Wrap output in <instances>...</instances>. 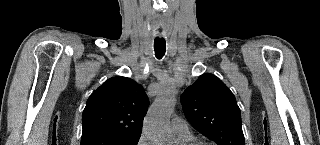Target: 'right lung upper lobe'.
<instances>
[{
  "label": "right lung upper lobe",
  "mask_w": 320,
  "mask_h": 145,
  "mask_svg": "<svg viewBox=\"0 0 320 145\" xmlns=\"http://www.w3.org/2000/svg\"><path fill=\"white\" fill-rule=\"evenodd\" d=\"M149 99L141 85L127 77L105 81L89 97L82 116V139L97 135L141 134Z\"/></svg>",
  "instance_id": "1"
}]
</instances>
